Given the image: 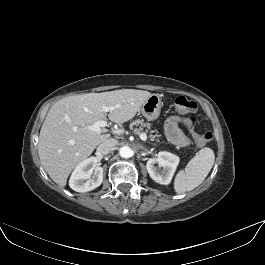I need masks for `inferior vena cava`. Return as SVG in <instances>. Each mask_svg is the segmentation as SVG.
I'll return each instance as SVG.
<instances>
[{"instance_id":"1","label":"inferior vena cava","mask_w":265,"mask_h":265,"mask_svg":"<svg viewBox=\"0 0 265 265\" xmlns=\"http://www.w3.org/2000/svg\"><path fill=\"white\" fill-rule=\"evenodd\" d=\"M116 144L117 141L115 139H107L98 146L97 153L100 155H107Z\"/></svg>"}]
</instances>
